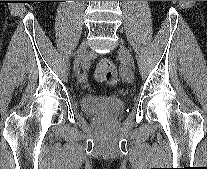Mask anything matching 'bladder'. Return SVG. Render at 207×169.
Masks as SVG:
<instances>
[{"label":"bladder","mask_w":207,"mask_h":169,"mask_svg":"<svg viewBox=\"0 0 207 169\" xmlns=\"http://www.w3.org/2000/svg\"><path fill=\"white\" fill-rule=\"evenodd\" d=\"M81 108L90 115H114L124 110L125 102L122 98L114 95L87 94L81 99Z\"/></svg>","instance_id":"31cf9c89"}]
</instances>
